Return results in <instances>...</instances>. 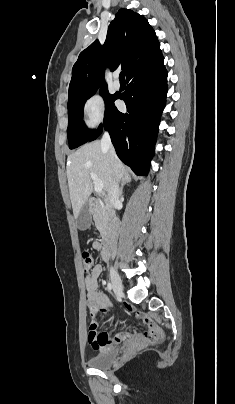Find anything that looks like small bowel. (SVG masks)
Masks as SVG:
<instances>
[{
  "label": "small bowel",
  "instance_id": "1",
  "mask_svg": "<svg viewBox=\"0 0 235 404\" xmlns=\"http://www.w3.org/2000/svg\"><path fill=\"white\" fill-rule=\"evenodd\" d=\"M93 249L98 251L104 258L103 245L100 241H95L93 243ZM102 270L103 268L101 265H96L91 270V273L85 278L88 307L92 315H96L99 312H105L110 307L108 296L104 292L98 290V280L102 274ZM124 309L127 312H134L137 319L145 320L143 315L138 311H134L130 304L125 303ZM127 338L128 334L126 332L118 333L111 337L107 332L99 333L98 330H96L95 333H92L89 331V342L93 349L96 350L113 347Z\"/></svg>",
  "mask_w": 235,
  "mask_h": 404
}]
</instances>
